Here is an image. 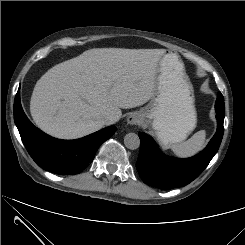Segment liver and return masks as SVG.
<instances>
[{
    "mask_svg": "<svg viewBox=\"0 0 245 245\" xmlns=\"http://www.w3.org/2000/svg\"><path fill=\"white\" fill-rule=\"evenodd\" d=\"M165 49L94 48L49 69L36 83L30 112L44 132L76 139L107 125L104 117L153 97Z\"/></svg>",
    "mask_w": 245,
    "mask_h": 245,
    "instance_id": "1",
    "label": "liver"
}]
</instances>
